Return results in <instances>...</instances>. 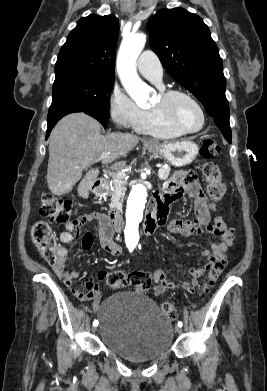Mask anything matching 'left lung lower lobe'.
<instances>
[{
  "label": "left lung lower lobe",
  "mask_w": 267,
  "mask_h": 391,
  "mask_svg": "<svg viewBox=\"0 0 267 391\" xmlns=\"http://www.w3.org/2000/svg\"><path fill=\"white\" fill-rule=\"evenodd\" d=\"M213 119L217 124V126L219 127V129L222 131L227 141L231 143V129L229 124V115H219L213 117Z\"/></svg>",
  "instance_id": "1"
}]
</instances>
